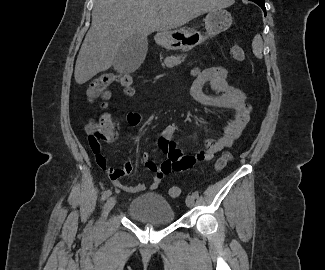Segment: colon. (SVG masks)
<instances>
[{
    "label": "colon",
    "mask_w": 325,
    "mask_h": 270,
    "mask_svg": "<svg viewBox=\"0 0 325 270\" xmlns=\"http://www.w3.org/2000/svg\"><path fill=\"white\" fill-rule=\"evenodd\" d=\"M230 55L233 59L243 62L245 60L244 50L238 46L234 45L230 48ZM113 83H118L124 90L126 95H131L133 93V79L130 75L123 74L118 75L114 73H102L92 80L88 89L87 96L90 101L97 100H107L110 97L108 92V87ZM102 107H105V102H102ZM86 131L88 134V141L92 151L97 154L100 152V142H110L114 135V128L111 119L108 115L104 114L98 118L90 119L86 125ZM231 160V154L225 152L217 160L215 168L217 170L223 169L227 163ZM181 194V190L177 186H172L169 189V195L172 198H177Z\"/></svg>",
    "instance_id": "obj_1"
}]
</instances>
